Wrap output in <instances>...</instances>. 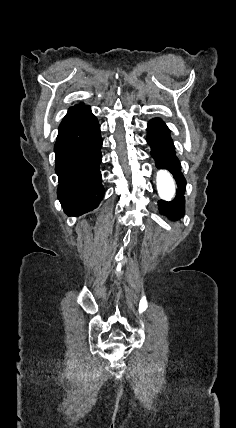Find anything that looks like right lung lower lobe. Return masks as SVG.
<instances>
[{"mask_svg": "<svg viewBox=\"0 0 236 428\" xmlns=\"http://www.w3.org/2000/svg\"><path fill=\"white\" fill-rule=\"evenodd\" d=\"M101 146L100 125L90 107H71L59 126L54 146L59 178L57 196L69 216L95 209L103 197Z\"/></svg>", "mask_w": 236, "mask_h": 428, "instance_id": "obj_1", "label": "right lung lower lobe"}]
</instances>
